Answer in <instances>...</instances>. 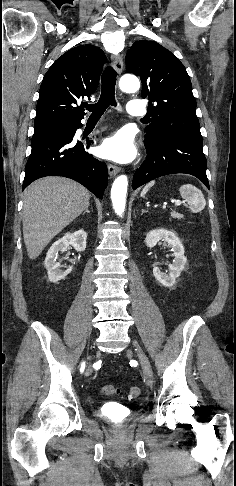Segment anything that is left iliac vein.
I'll return each mask as SVG.
<instances>
[{"instance_id": "1", "label": "left iliac vein", "mask_w": 236, "mask_h": 486, "mask_svg": "<svg viewBox=\"0 0 236 486\" xmlns=\"http://www.w3.org/2000/svg\"><path fill=\"white\" fill-rule=\"evenodd\" d=\"M133 345H134L135 350L137 352L139 362L142 366L145 381H146L147 385L152 386L153 382H154V378H153V371H152L150 362H149L147 356L145 355V353L143 352V350L141 349V347L139 346V344L137 342H133Z\"/></svg>"}]
</instances>
